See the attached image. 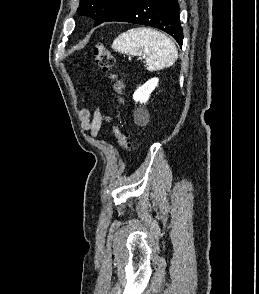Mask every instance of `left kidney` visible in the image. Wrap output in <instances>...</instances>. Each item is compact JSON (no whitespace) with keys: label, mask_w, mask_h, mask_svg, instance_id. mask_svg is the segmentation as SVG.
Returning a JSON list of instances; mask_svg holds the SVG:
<instances>
[{"label":"left kidney","mask_w":259,"mask_h":294,"mask_svg":"<svg viewBox=\"0 0 259 294\" xmlns=\"http://www.w3.org/2000/svg\"><path fill=\"white\" fill-rule=\"evenodd\" d=\"M158 81V78L148 80L134 92L133 99L141 104L148 101L150 94L158 85Z\"/></svg>","instance_id":"obj_1"}]
</instances>
